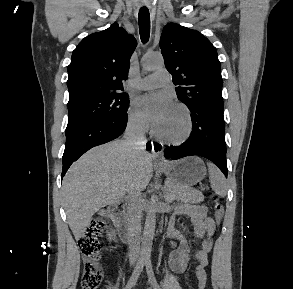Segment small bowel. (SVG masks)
<instances>
[{"mask_svg": "<svg viewBox=\"0 0 293 289\" xmlns=\"http://www.w3.org/2000/svg\"><path fill=\"white\" fill-rule=\"evenodd\" d=\"M185 215L191 218L195 237L201 241V247L191 252L189 241L175 228V218ZM216 226L212 218L207 214V208L200 204H182L175 206L171 219L167 225V234L177 242V246L170 255L171 268L177 272H183L191 260H196V276L199 281V289H204L206 284L205 267L208 265V254L213 246V238Z\"/></svg>", "mask_w": 293, "mask_h": 289, "instance_id": "small-bowel-1", "label": "small bowel"}]
</instances>
